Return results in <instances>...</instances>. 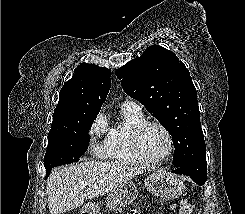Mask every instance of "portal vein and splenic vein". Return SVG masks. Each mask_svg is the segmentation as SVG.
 I'll list each match as a JSON object with an SVG mask.
<instances>
[{"label": "portal vein and splenic vein", "instance_id": "1", "mask_svg": "<svg viewBox=\"0 0 245 214\" xmlns=\"http://www.w3.org/2000/svg\"><path fill=\"white\" fill-rule=\"evenodd\" d=\"M89 184L88 183H83L82 184V187H86V186H88Z\"/></svg>", "mask_w": 245, "mask_h": 214}]
</instances>
